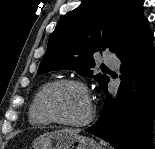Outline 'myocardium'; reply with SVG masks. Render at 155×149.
<instances>
[{"label":"myocardium","instance_id":"1","mask_svg":"<svg viewBox=\"0 0 155 149\" xmlns=\"http://www.w3.org/2000/svg\"><path fill=\"white\" fill-rule=\"evenodd\" d=\"M60 85H73V86H77L79 87L83 93L85 94L87 101H88V105H89V110H88V114L86 115V117L80 121H68V120H64L59 118L57 115H55L49 108L48 103H47V96L49 94V92ZM39 109L41 111V113L51 122L53 123H57L60 125H64V126H72V127H81V126H85L87 124H89L95 116V105L93 103L90 91L87 87V85L79 80V79H75V78H60V79H56L53 80L51 82H49L48 84H46L41 92L40 95V99H39Z\"/></svg>","mask_w":155,"mask_h":149}]
</instances>
